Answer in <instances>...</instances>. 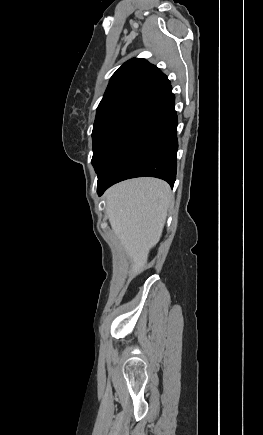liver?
I'll return each instance as SVG.
<instances>
[{"label": "liver", "mask_w": 263, "mask_h": 435, "mask_svg": "<svg viewBox=\"0 0 263 435\" xmlns=\"http://www.w3.org/2000/svg\"><path fill=\"white\" fill-rule=\"evenodd\" d=\"M105 199L112 230L133 261L132 273L138 274L161 238L171 201L170 187L156 178H137L114 185Z\"/></svg>", "instance_id": "6515ba94"}]
</instances>
